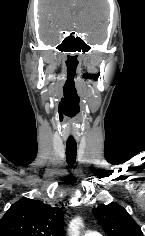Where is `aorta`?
Here are the masks:
<instances>
[{"mask_svg": "<svg viewBox=\"0 0 145 236\" xmlns=\"http://www.w3.org/2000/svg\"><path fill=\"white\" fill-rule=\"evenodd\" d=\"M82 224V220L80 217L74 218L69 225V236H80V226Z\"/></svg>", "mask_w": 145, "mask_h": 236, "instance_id": "1", "label": "aorta"}]
</instances>
